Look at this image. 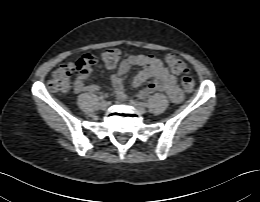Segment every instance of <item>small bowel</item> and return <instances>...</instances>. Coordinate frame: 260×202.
<instances>
[{
  "mask_svg": "<svg viewBox=\"0 0 260 202\" xmlns=\"http://www.w3.org/2000/svg\"><path fill=\"white\" fill-rule=\"evenodd\" d=\"M134 66L140 67V70L132 80L134 87H139L151 80L149 84L138 93L139 98L144 99L154 92L161 91L165 92L174 103H179L182 100L183 94L177 84L176 78L169 73L162 61L153 55H130L120 63L117 71L111 77L116 95L120 100L127 98L125 79ZM90 74L91 69H87L77 75L74 84L76 93L83 91L98 92L100 90L99 85L85 84V80Z\"/></svg>",
  "mask_w": 260,
  "mask_h": 202,
  "instance_id": "obj_1",
  "label": "small bowel"
}]
</instances>
